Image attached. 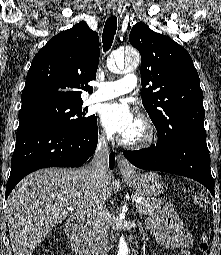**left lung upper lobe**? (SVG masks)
Here are the masks:
<instances>
[{"label":"left lung upper lobe","instance_id":"5c2ea615","mask_svg":"<svg viewBox=\"0 0 221 255\" xmlns=\"http://www.w3.org/2000/svg\"><path fill=\"white\" fill-rule=\"evenodd\" d=\"M129 41L141 54L142 103L158 140L174 142L188 134L206 136L203 92L189 53L141 22L131 29Z\"/></svg>","mask_w":221,"mask_h":255}]
</instances>
